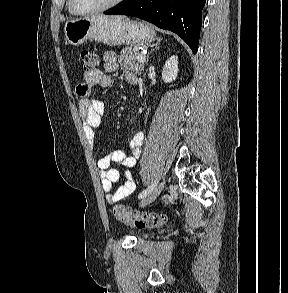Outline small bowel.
Segmentation results:
<instances>
[{
  "mask_svg": "<svg viewBox=\"0 0 288 293\" xmlns=\"http://www.w3.org/2000/svg\"><path fill=\"white\" fill-rule=\"evenodd\" d=\"M103 67L105 72H114L118 69L115 53L106 52L103 55ZM124 76L126 81L130 84H135L137 81L135 75L131 72H126ZM111 82L112 80L109 75L96 69L91 73H85L84 82L76 87V93L80 97L78 107L83 131L90 145H93L95 142L97 130L101 126L105 114L104 102L92 99L90 94L93 87L98 86L100 88H106L111 85ZM143 140V133L137 132L128 145L130 153H127L125 149H117L98 160L97 166L101 178L102 189L106 193V198L109 202H118L134 192L136 188L133 178L134 168L141 155ZM112 164L124 168L122 174L125 178V182L119 186L115 192H112L113 185L119 181L121 172L116 168H112Z\"/></svg>",
  "mask_w": 288,
  "mask_h": 293,
  "instance_id": "small-bowel-1",
  "label": "small bowel"
}]
</instances>
